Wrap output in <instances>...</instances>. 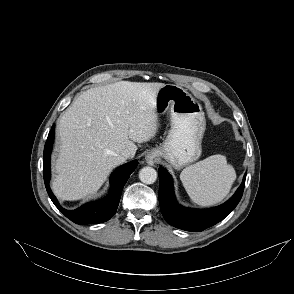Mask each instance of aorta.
<instances>
[{"mask_svg": "<svg viewBox=\"0 0 294 294\" xmlns=\"http://www.w3.org/2000/svg\"><path fill=\"white\" fill-rule=\"evenodd\" d=\"M139 178L145 184H153L157 179V172L152 167H144L139 172Z\"/></svg>", "mask_w": 294, "mask_h": 294, "instance_id": "obj_1", "label": "aorta"}]
</instances>
